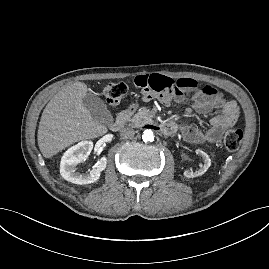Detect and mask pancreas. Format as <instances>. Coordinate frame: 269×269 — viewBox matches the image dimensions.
Here are the masks:
<instances>
[{
    "instance_id": "obj_1",
    "label": "pancreas",
    "mask_w": 269,
    "mask_h": 269,
    "mask_svg": "<svg viewBox=\"0 0 269 269\" xmlns=\"http://www.w3.org/2000/svg\"><path fill=\"white\" fill-rule=\"evenodd\" d=\"M149 120H150V111L145 107L139 109L134 116L127 118V122L129 123V125L137 128L147 124Z\"/></svg>"
}]
</instances>
